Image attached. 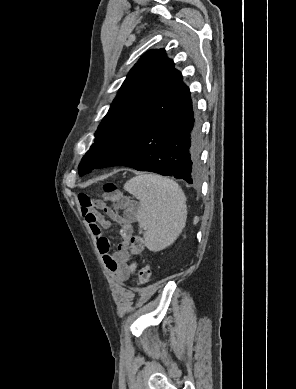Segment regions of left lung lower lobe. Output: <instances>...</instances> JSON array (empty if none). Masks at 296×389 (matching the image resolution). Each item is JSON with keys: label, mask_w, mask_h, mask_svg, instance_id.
<instances>
[{"label": "left lung lower lobe", "mask_w": 296, "mask_h": 389, "mask_svg": "<svg viewBox=\"0 0 296 389\" xmlns=\"http://www.w3.org/2000/svg\"><path fill=\"white\" fill-rule=\"evenodd\" d=\"M94 155L98 168L127 166L192 184L198 171L199 124L181 73L105 131Z\"/></svg>", "instance_id": "left-lung-lower-lobe-1"}]
</instances>
